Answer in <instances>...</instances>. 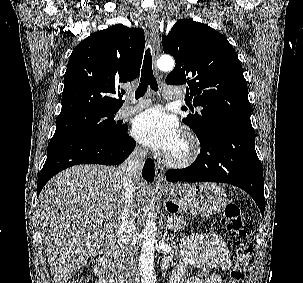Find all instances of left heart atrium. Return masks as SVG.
<instances>
[{"label": "left heart atrium", "mask_w": 303, "mask_h": 283, "mask_svg": "<svg viewBox=\"0 0 303 283\" xmlns=\"http://www.w3.org/2000/svg\"><path fill=\"white\" fill-rule=\"evenodd\" d=\"M132 132L138 141L166 153H171L181 142L178 121L161 106L141 113L134 122Z\"/></svg>", "instance_id": "left-heart-atrium-1"}]
</instances>
